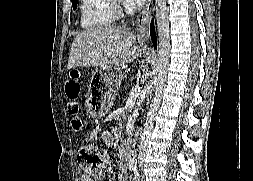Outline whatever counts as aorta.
Segmentation results:
<instances>
[{"instance_id":"1","label":"aorta","mask_w":253,"mask_h":181,"mask_svg":"<svg viewBox=\"0 0 253 181\" xmlns=\"http://www.w3.org/2000/svg\"><path fill=\"white\" fill-rule=\"evenodd\" d=\"M155 18L158 35V61L156 66V87L152 100V106L148 108L147 117L142 127V138L139 157H146V150L149 149V139L151 129L154 127L156 111L161 101L163 85L166 81V75L170 58V29L168 20V9L166 0H155Z\"/></svg>"}]
</instances>
